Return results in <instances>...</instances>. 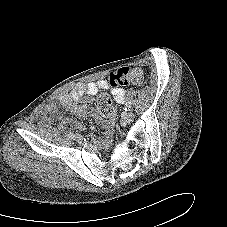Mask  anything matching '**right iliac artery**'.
Masks as SVG:
<instances>
[{"mask_svg":"<svg viewBox=\"0 0 227 227\" xmlns=\"http://www.w3.org/2000/svg\"><path fill=\"white\" fill-rule=\"evenodd\" d=\"M69 137L70 138H74L75 137V135L73 134V132H71V131L69 132Z\"/></svg>","mask_w":227,"mask_h":227,"instance_id":"1","label":"right iliac artery"}]
</instances>
